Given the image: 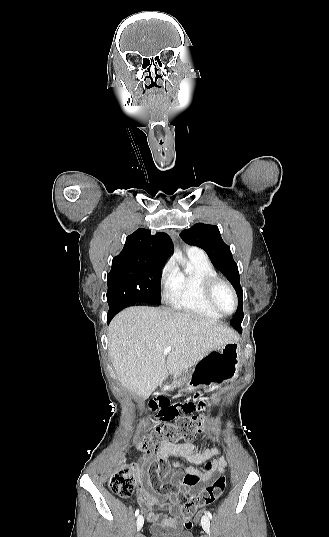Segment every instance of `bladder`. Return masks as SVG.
Returning <instances> with one entry per match:
<instances>
[{"instance_id": "bladder-1", "label": "bladder", "mask_w": 329, "mask_h": 537, "mask_svg": "<svg viewBox=\"0 0 329 537\" xmlns=\"http://www.w3.org/2000/svg\"><path fill=\"white\" fill-rule=\"evenodd\" d=\"M150 537H194L193 533L190 531H162V532H152Z\"/></svg>"}]
</instances>
